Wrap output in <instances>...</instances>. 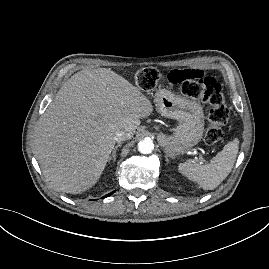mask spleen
I'll use <instances>...</instances> for the list:
<instances>
[{
  "label": "spleen",
  "mask_w": 269,
  "mask_h": 269,
  "mask_svg": "<svg viewBox=\"0 0 269 269\" xmlns=\"http://www.w3.org/2000/svg\"><path fill=\"white\" fill-rule=\"evenodd\" d=\"M239 149L238 139L227 143L223 150L213 157L210 163L201 165L198 163L185 162L178 165L182 175L189 180L197 182L204 190H213L231 172Z\"/></svg>",
  "instance_id": "3e777b00"
}]
</instances>
